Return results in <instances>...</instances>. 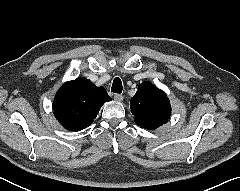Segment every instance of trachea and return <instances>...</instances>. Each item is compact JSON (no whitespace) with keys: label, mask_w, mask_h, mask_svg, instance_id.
<instances>
[{"label":"trachea","mask_w":240,"mask_h":191,"mask_svg":"<svg viewBox=\"0 0 240 191\" xmlns=\"http://www.w3.org/2000/svg\"><path fill=\"white\" fill-rule=\"evenodd\" d=\"M122 88L123 87H122V82H121L120 78L116 77L113 80L111 91L114 92V93L120 94L122 92Z\"/></svg>","instance_id":"3493384b"}]
</instances>
